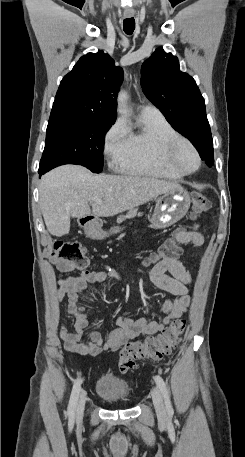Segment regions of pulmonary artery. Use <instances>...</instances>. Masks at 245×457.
Instances as JSON below:
<instances>
[{
  "instance_id": "1",
  "label": "pulmonary artery",
  "mask_w": 245,
  "mask_h": 457,
  "mask_svg": "<svg viewBox=\"0 0 245 457\" xmlns=\"http://www.w3.org/2000/svg\"><path fill=\"white\" fill-rule=\"evenodd\" d=\"M141 116H152L161 114L159 109L151 104H139L137 106Z\"/></svg>"
}]
</instances>
